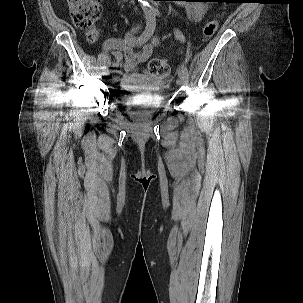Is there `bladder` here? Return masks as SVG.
<instances>
[{"instance_id": "obj_1", "label": "bladder", "mask_w": 303, "mask_h": 303, "mask_svg": "<svg viewBox=\"0 0 303 303\" xmlns=\"http://www.w3.org/2000/svg\"><path fill=\"white\" fill-rule=\"evenodd\" d=\"M129 106V113L130 116L134 119H141L145 116L152 115L155 111L160 108L161 103H158L156 105H144V104H135V103H128ZM135 108H139L136 110Z\"/></svg>"}]
</instances>
